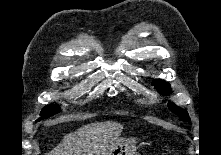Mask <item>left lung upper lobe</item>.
<instances>
[{
    "instance_id": "1",
    "label": "left lung upper lobe",
    "mask_w": 221,
    "mask_h": 155,
    "mask_svg": "<svg viewBox=\"0 0 221 155\" xmlns=\"http://www.w3.org/2000/svg\"><path fill=\"white\" fill-rule=\"evenodd\" d=\"M153 84L158 88V91L162 94L166 95V94H169L171 91L169 84H167L166 82L156 80L153 82ZM168 107L172 110V112L179 115L180 120H182V121H189L190 120L189 115L186 110H184L174 104L169 105Z\"/></svg>"
}]
</instances>
